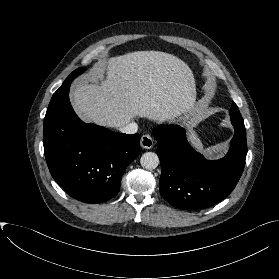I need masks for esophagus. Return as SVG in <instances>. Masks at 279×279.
<instances>
[{
	"instance_id": "esophagus-1",
	"label": "esophagus",
	"mask_w": 279,
	"mask_h": 279,
	"mask_svg": "<svg viewBox=\"0 0 279 279\" xmlns=\"http://www.w3.org/2000/svg\"><path fill=\"white\" fill-rule=\"evenodd\" d=\"M140 145L144 149H151L154 145V141L150 135L145 134L141 137Z\"/></svg>"
}]
</instances>
